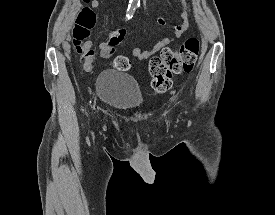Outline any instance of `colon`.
<instances>
[{
  "instance_id": "5ec220e1",
  "label": "colon",
  "mask_w": 275,
  "mask_h": 215,
  "mask_svg": "<svg viewBox=\"0 0 275 215\" xmlns=\"http://www.w3.org/2000/svg\"><path fill=\"white\" fill-rule=\"evenodd\" d=\"M90 0H85L89 2ZM95 26V15L89 7H84L73 30V44L76 50L84 54L83 61L92 57L94 50H85L84 43ZM199 54V41L189 37L177 48H164L160 55L149 62V72L152 76L151 86L156 93H164L170 89L175 75L191 72ZM112 65L119 71L130 69V60L126 56H117Z\"/></svg>"
}]
</instances>
